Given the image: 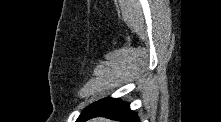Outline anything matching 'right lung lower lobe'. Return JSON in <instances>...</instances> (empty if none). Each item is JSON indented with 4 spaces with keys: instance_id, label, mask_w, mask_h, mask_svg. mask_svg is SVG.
<instances>
[{
    "instance_id": "right-lung-lower-lobe-1",
    "label": "right lung lower lobe",
    "mask_w": 221,
    "mask_h": 122,
    "mask_svg": "<svg viewBox=\"0 0 221 122\" xmlns=\"http://www.w3.org/2000/svg\"><path fill=\"white\" fill-rule=\"evenodd\" d=\"M104 116L123 122H140L137 114L130 110L129 105L118 99L105 98L87 107L79 116L78 121Z\"/></svg>"
}]
</instances>
